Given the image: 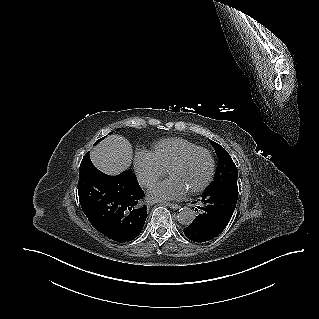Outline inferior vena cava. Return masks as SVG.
Here are the masks:
<instances>
[{
	"mask_svg": "<svg viewBox=\"0 0 319 319\" xmlns=\"http://www.w3.org/2000/svg\"><path fill=\"white\" fill-rule=\"evenodd\" d=\"M140 182H141V184H149L150 182H151V180L150 179H147V178H145V179H141L140 180Z\"/></svg>",
	"mask_w": 319,
	"mask_h": 319,
	"instance_id": "inferior-vena-cava-1",
	"label": "inferior vena cava"
}]
</instances>
